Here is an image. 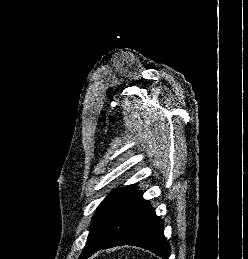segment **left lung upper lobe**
<instances>
[{
  "label": "left lung upper lobe",
  "instance_id": "1",
  "mask_svg": "<svg viewBox=\"0 0 248 259\" xmlns=\"http://www.w3.org/2000/svg\"><path fill=\"white\" fill-rule=\"evenodd\" d=\"M140 198H142V194L136 192L135 186L133 185L114 190L99 205L100 208L93 217L88 238H90L102 225L109 221L118 212Z\"/></svg>",
  "mask_w": 248,
  "mask_h": 259
}]
</instances>
